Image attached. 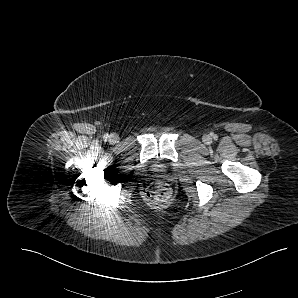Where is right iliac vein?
<instances>
[{"label": "right iliac vein", "instance_id": "1", "mask_svg": "<svg viewBox=\"0 0 298 298\" xmlns=\"http://www.w3.org/2000/svg\"><path fill=\"white\" fill-rule=\"evenodd\" d=\"M108 139H109L110 143H117L119 140V137L116 134H111V135H109Z\"/></svg>", "mask_w": 298, "mask_h": 298}]
</instances>
